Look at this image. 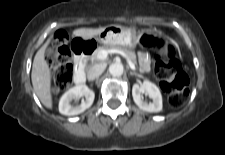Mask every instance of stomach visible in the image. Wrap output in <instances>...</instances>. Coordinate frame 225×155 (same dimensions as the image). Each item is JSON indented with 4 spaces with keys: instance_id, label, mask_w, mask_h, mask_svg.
Segmentation results:
<instances>
[{
    "instance_id": "1",
    "label": "stomach",
    "mask_w": 225,
    "mask_h": 155,
    "mask_svg": "<svg viewBox=\"0 0 225 155\" xmlns=\"http://www.w3.org/2000/svg\"><path fill=\"white\" fill-rule=\"evenodd\" d=\"M164 39L163 35L155 30L146 29L135 32L120 26L106 27L99 34V41L106 45L120 44L129 48H134L137 45L142 48H153L160 45Z\"/></svg>"
}]
</instances>
